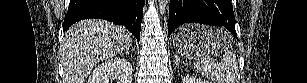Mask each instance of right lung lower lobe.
Wrapping results in <instances>:
<instances>
[{
	"label": "right lung lower lobe",
	"mask_w": 307,
	"mask_h": 83,
	"mask_svg": "<svg viewBox=\"0 0 307 83\" xmlns=\"http://www.w3.org/2000/svg\"><path fill=\"white\" fill-rule=\"evenodd\" d=\"M144 0H70L63 29L90 18L124 25L139 42Z\"/></svg>",
	"instance_id": "right-lung-lower-lobe-1"
}]
</instances>
